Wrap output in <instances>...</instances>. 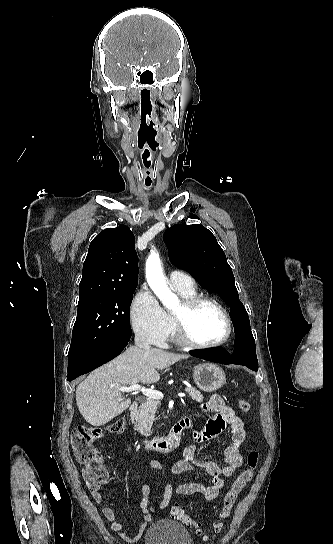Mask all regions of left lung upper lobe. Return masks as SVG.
Segmentation results:
<instances>
[{
	"instance_id": "1",
	"label": "left lung upper lobe",
	"mask_w": 333,
	"mask_h": 544,
	"mask_svg": "<svg viewBox=\"0 0 333 544\" xmlns=\"http://www.w3.org/2000/svg\"><path fill=\"white\" fill-rule=\"evenodd\" d=\"M163 238L173 265L191 272L202 287L218 292L231 307L233 321H249L239 300L232 269L211 231L201 225H174L165 231Z\"/></svg>"
}]
</instances>
